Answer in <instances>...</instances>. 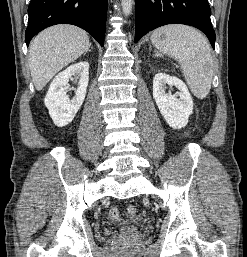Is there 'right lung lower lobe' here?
<instances>
[{
	"mask_svg": "<svg viewBox=\"0 0 247 257\" xmlns=\"http://www.w3.org/2000/svg\"><path fill=\"white\" fill-rule=\"evenodd\" d=\"M108 0H31L28 7L27 46L41 30L56 24H72L86 30L104 45Z\"/></svg>",
	"mask_w": 247,
	"mask_h": 257,
	"instance_id": "right-lung-lower-lobe-1",
	"label": "right lung lower lobe"
}]
</instances>
